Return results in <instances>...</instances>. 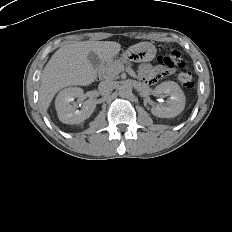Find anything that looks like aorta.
<instances>
[{
    "mask_svg": "<svg viewBox=\"0 0 232 232\" xmlns=\"http://www.w3.org/2000/svg\"><path fill=\"white\" fill-rule=\"evenodd\" d=\"M132 94V88L130 85L124 84L119 87V95L123 98H127Z\"/></svg>",
    "mask_w": 232,
    "mask_h": 232,
    "instance_id": "obj_1",
    "label": "aorta"
}]
</instances>
